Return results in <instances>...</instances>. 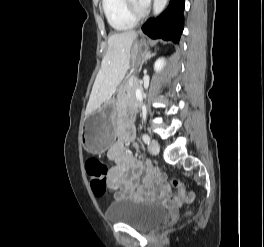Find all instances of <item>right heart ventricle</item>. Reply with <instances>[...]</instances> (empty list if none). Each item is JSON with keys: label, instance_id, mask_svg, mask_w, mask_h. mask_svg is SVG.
I'll return each mask as SVG.
<instances>
[{"label": "right heart ventricle", "instance_id": "1", "mask_svg": "<svg viewBox=\"0 0 264 247\" xmlns=\"http://www.w3.org/2000/svg\"><path fill=\"white\" fill-rule=\"evenodd\" d=\"M102 7L109 24L116 30L123 31L136 24L126 9L125 0H102Z\"/></svg>", "mask_w": 264, "mask_h": 247}]
</instances>
